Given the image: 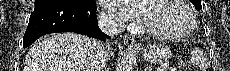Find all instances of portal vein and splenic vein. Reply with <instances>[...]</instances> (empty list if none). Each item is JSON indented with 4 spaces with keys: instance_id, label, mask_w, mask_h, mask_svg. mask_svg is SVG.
<instances>
[{
    "instance_id": "18ae733b",
    "label": "portal vein and splenic vein",
    "mask_w": 230,
    "mask_h": 71,
    "mask_svg": "<svg viewBox=\"0 0 230 71\" xmlns=\"http://www.w3.org/2000/svg\"><path fill=\"white\" fill-rule=\"evenodd\" d=\"M165 67H163L160 71H164Z\"/></svg>"
}]
</instances>
